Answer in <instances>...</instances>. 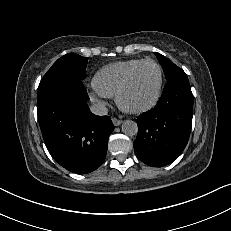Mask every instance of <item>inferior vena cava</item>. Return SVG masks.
<instances>
[{
    "label": "inferior vena cava",
    "mask_w": 231,
    "mask_h": 231,
    "mask_svg": "<svg viewBox=\"0 0 231 231\" xmlns=\"http://www.w3.org/2000/svg\"><path fill=\"white\" fill-rule=\"evenodd\" d=\"M90 110L93 114L99 115V116H103V115H106L108 113V109L106 108V106L103 103L93 104L90 107Z\"/></svg>",
    "instance_id": "obj_1"
}]
</instances>
